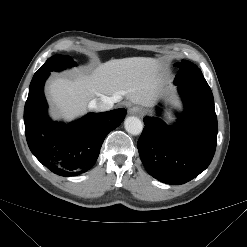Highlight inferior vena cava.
Returning a JSON list of instances; mask_svg holds the SVG:
<instances>
[{
  "label": "inferior vena cava",
  "instance_id": "1",
  "mask_svg": "<svg viewBox=\"0 0 247 247\" xmlns=\"http://www.w3.org/2000/svg\"><path fill=\"white\" fill-rule=\"evenodd\" d=\"M117 101L118 98L115 96H102L100 98L93 99L89 103V107L95 109L98 112L108 111L113 108L114 103H116Z\"/></svg>",
  "mask_w": 247,
  "mask_h": 247
}]
</instances>
